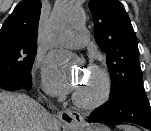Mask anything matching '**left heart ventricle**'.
<instances>
[{
	"label": "left heart ventricle",
	"instance_id": "obj_1",
	"mask_svg": "<svg viewBox=\"0 0 151 131\" xmlns=\"http://www.w3.org/2000/svg\"><path fill=\"white\" fill-rule=\"evenodd\" d=\"M100 78L88 71L78 84L76 93L82 97L88 98L93 96L100 88Z\"/></svg>",
	"mask_w": 151,
	"mask_h": 131
}]
</instances>
